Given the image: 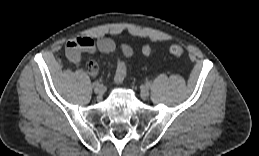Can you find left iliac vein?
I'll list each match as a JSON object with an SVG mask.
<instances>
[{
  "mask_svg": "<svg viewBox=\"0 0 259 156\" xmlns=\"http://www.w3.org/2000/svg\"><path fill=\"white\" fill-rule=\"evenodd\" d=\"M140 96L143 100L147 99L149 96V90L146 87H143L140 91Z\"/></svg>",
  "mask_w": 259,
  "mask_h": 156,
  "instance_id": "1",
  "label": "left iliac vein"
}]
</instances>
